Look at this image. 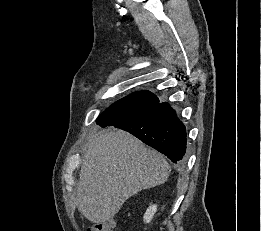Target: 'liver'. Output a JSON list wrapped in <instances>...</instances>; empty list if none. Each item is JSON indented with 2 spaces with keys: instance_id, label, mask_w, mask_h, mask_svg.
Returning a JSON list of instances; mask_svg holds the SVG:
<instances>
[{
  "instance_id": "1",
  "label": "liver",
  "mask_w": 261,
  "mask_h": 231,
  "mask_svg": "<svg viewBox=\"0 0 261 231\" xmlns=\"http://www.w3.org/2000/svg\"><path fill=\"white\" fill-rule=\"evenodd\" d=\"M170 174L165 158L122 130H103L84 149L76 203L92 223H105L139 191L161 185Z\"/></svg>"
}]
</instances>
